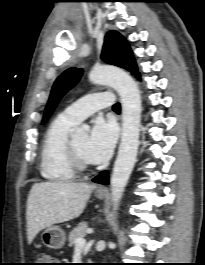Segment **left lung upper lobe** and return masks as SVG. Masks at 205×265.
<instances>
[{
    "label": "left lung upper lobe",
    "mask_w": 205,
    "mask_h": 265,
    "mask_svg": "<svg viewBox=\"0 0 205 265\" xmlns=\"http://www.w3.org/2000/svg\"><path fill=\"white\" fill-rule=\"evenodd\" d=\"M101 58L108 64L116 65L138 75L133 52L126 39L116 31H109L105 36ZM83 73L80 68H69L55 81L45 109L42 124H44L58 102L79 81Z\"/></svg>",
    "instance_id": "1"
}]
</instances>
